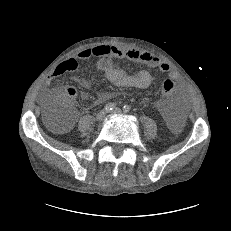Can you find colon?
Wrapping results in <instances>:
<instances>
[{
  "label": "colon",
  "mask_w": 231,
  "mask_h": 231,
  "mask_svg": "<svg viewBox=\"0 0 231 231\" xmlns=\"http://www.w3.org/2000/svg\"><path fill=\"white\" fill-rule=\"evenodd\" d=\"M160 90L166 97L173 98L178 93V86L174 81L166 79L161 83ZM75 94V89L67 88L62 94L55 95L49 99L46 107V118L52 126L61 127L63 123L68 126L70 118L73 117L69 100Z\"/></svg>",
  "instance_id": "5ec220e1"
}]
</instances>
